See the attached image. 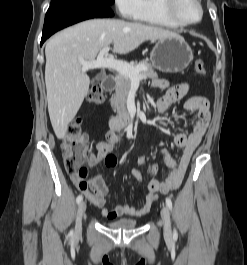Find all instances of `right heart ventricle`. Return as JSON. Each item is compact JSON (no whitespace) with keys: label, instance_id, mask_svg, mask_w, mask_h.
<instances>
[{"label":"right heart ventricle","instance_id":"right-heart-ventricle-1","mask_svg":"<svg viewBox=\"0 0 247 265\" xmlns=\"http://www.w3.org/2000/svg\"><path fill=\"white\" fill-rule=\"evenodd\" d=\"M134 19L167 28L180 27L165 13L162 0H140V9Z\"/></svg>","mask_w":247,"mask_h":265}]
</instances>
